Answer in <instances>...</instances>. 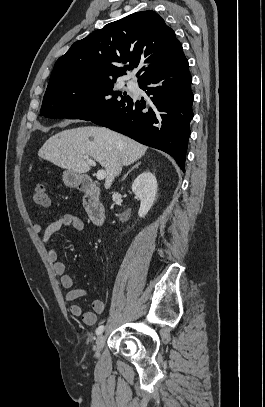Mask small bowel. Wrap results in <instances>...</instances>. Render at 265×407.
Instances as JSON below:
<instances>
[{
	"instance_id": "small-bowel-1",
	"label": "small bowel",
	"mask_w": 265,
	"mask_h": 407,
	"mask_svg": "<svg viewBox=\"0 0 265 407\" xmlns=\"http://www.w3.org/2000/svg\"><path fill=\"white\" fill-rule=\"evenodd\" d=\"M62 227H71L77 231H81L84 229V222L74 214L63 213L56 220L47 224L45 228H43L41 224L35 223L32 229L36 234H42L41 243L47 249V256L53 264L55 273L60 276L62 287L67 290L65 300L71 303L69 308L71 315L76 317L81 316L86 325L94 326L97 323L98 315L105 313L106 304L102 300L96 299L92 302L93 310L83 312L81 306L75 302L84 298L87 295V290L74 287V279L66 272V266L59 260L57 251L49 247L51 236Z\"/></svg>"
}]
</instances>
